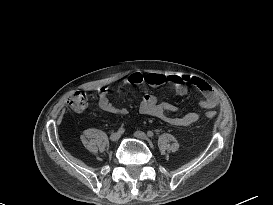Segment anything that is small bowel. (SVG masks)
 <instances>
[{"label":"small bowel","mask_w":273,"mask_h":205,"mask_svg":"<svg viewBox=\"0 0 273 205\" xmlns=\"http://www.w3.org/2000/svg\"><path fill=\"white\" fill-rule=\"evenodd\" d=\"M125 82L130 85H160L162 83H172L175 85V93L178 96H185L188 93L187 84L194 85L203 95V99L199 102V105L205 109H212L218 105V97L212 87L205 81L189 76L171 75L165 76L157 73L143 74L139 72L128 75ZM99 107L112 114L125 115L128 113L126 108L115 106L108 95V89L102 87L98 92ZM140 112L144 115L154 116L163 120H166L174 126H189L195 123L198 119V115L194 112H188L180 117L168 116V112H175L176 106L167 101L158 102L156 97L152 94L145 93L140 103Z\"/></svg>","instance_id":"c3829d8e"}]
</instances>
